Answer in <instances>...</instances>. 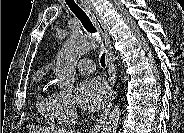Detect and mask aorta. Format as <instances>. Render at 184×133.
Returning a JSON list of instances; mask_svg holds the SVG:
<instances>
[{
	"instance_id": "obj_1",
	"label": "aorta",
	"mask_w": 184,
	"mask_h": 133,
	"mask_svg": "<svg viewBox=\"0 0 184 133\" xmlns=\"http://www.w3.org/2000/svg\"><path fill=\"white\" fill-rule=\"evenodd\" d=\"M97 47L96 41L85 34L72 35L62 46L56 63L55 75L58 86L65 91H72L76 80V65L87 52ZM121 104H115L101 133H116L119 126Z\"/></svg>"
}]
</instances>
